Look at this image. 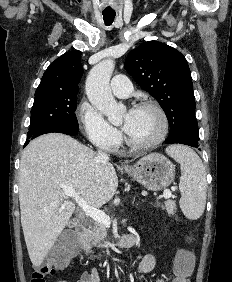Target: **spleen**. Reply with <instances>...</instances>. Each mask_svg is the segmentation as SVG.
Returning <instances> with one entry per match:
<instances>
[{
    "mask_svg": "<svg viewBox=\"0 0 232 282\" xmlns=\"http://www.w3.org/2000/svg\"><path fill=\"white\" fill-rule=\"evenodd\" d=\"M166 152L180 164V208L187 218L198 219L206 204L207 182L204 165L196 152L189 147L173 145L167 148Z\"/></svg>",
    "mask_w": 232,
    "mask_h": 282,
    "instance_id": "obj_1",
    "label": "spleen"
}]
</instances>
